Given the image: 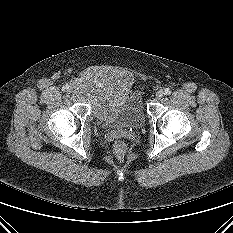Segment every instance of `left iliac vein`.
<instances>
[{
  "instance_id": "4c4485c4",
  "label": "left iliac vein",
  "mask_w": 233,
  "mask_h": 233,
  "mask_svg": "<svg viewBox=\"0 0 233 233\" xmlns=\"http://www.w3.org/2000/svg\"><path fill=\"white\" fill-rule=\"evenodd\" d=\"M163 95H164L163 90H159L155 94V96H156L157 99H161L163 97Z\"/></svg>"
}]
</instances>
